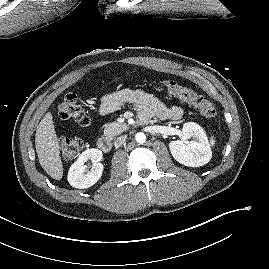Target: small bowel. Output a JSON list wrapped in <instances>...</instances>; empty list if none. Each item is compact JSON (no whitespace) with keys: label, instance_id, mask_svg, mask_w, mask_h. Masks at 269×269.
Listing matches in <instances>:
<instances>
[{"label":"small bowel","instance_id":"c3829d8e","mask_svg":"<svg viewBox=\"0 0 269 269\" xmlns=\"http://www.w3.org/2000/svg\"><path fill=\"white\" fill-rule=\"evenodd\" d=\"M127 103L136 107L141 123H147L153 117L161 120H178L183 115L180 106L167 107L153 95L133 89H123L105 95L101 100L99 113L109 114Z\"/></svg>","mask_w":269,"mask_h":269}]
</instances>
